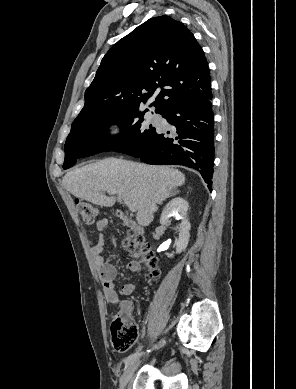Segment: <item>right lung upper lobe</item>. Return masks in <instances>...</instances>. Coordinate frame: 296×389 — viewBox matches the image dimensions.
Returning a JSON list of instances; mask_svg holds the SVG:
<instances>
[{"mask_svg":"<svg viewBox=\"0 0 296 389\" xmlns=\"http://www.w3.org/2000/svg\"><path fill=\"white\" fill-rule=\"evenodd\" d=\"M158 88L162 90L151 106L162 115L211 93L201 46L181 22L168 16L149 19L106 53L77 118L97 110L138 108Z\"/></svg>","mask_w":296,"mask_h":389,"instance_id":"cb5924a9","label":"right lung upper lobe"}]
</instances>
